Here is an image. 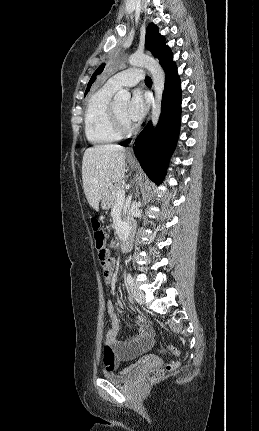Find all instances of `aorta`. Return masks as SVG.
Instances as JSON below:
<instances>
[{
  "label": "aorta",
  "mask_w": 259,
  "mask_h": 431,
  "mask_svg": "<svg viewBox=\"0 0 259 431\" xmlns=\"http://www.w3.org/2000/svg\"><path fill=\"white\" fill-rule=\"evenodd\" d=\"M129 64L136 67H144L149 70L153 78L154 100L152 102L151 118L153 126H156L161 112V101L164 91L165 75L159 63L150 56L144 54H133L129 57ZM131 94L128 90L121 89L114 96L117 105H126Z\"/></svg>",
  "instance_id": "762f6f07"
}]
</instances>
